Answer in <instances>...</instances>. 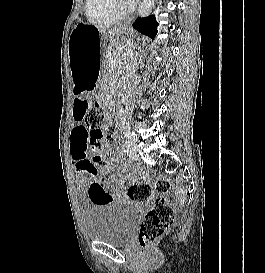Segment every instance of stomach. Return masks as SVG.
<instances>
[{
	"label": "stomach",
	"mask_w": 265,
	"mask_h": 273,
	"mask_svg": "<svg viewBox=\"0 0 265 273\" xmlns=\"http://www.w3.org/2000/svg\"><path fill=\"white\" fill-rule=\"evenodd\" d=\"M136 39L126 27L112 33L86 23L77 24L68 42L74 95H93L98 78H109V69H114V64H127L131 60V55H125L124 51L115 55V51L106 49H150L152 40Z\"/></svg>",
	"instance_id": "0dacf381"
}]
</instances>
